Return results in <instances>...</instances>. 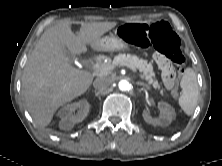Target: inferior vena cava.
Returning <instances> with one entry per match:
<instances>
[{
	"instance_id": "602c4592",
	"label": "inferior vena cava",
	"mask_w": 222,
	"mask_h": 166,
	"mask_svg": "<svg viewBox=\"0 0 222 166\" xmlns=\"http://www.w3.org/2000/svg\"><path fill=\"white\" fill-rule=\"evenodd\" d=\"M112 81L107 77L96 78L93 82V87L98 90H107Z\"/></svg>"
}]
</instances>
